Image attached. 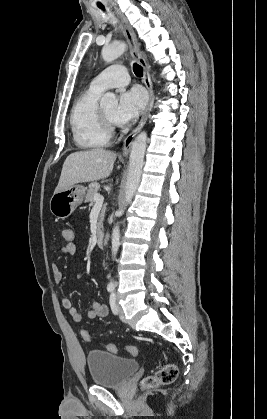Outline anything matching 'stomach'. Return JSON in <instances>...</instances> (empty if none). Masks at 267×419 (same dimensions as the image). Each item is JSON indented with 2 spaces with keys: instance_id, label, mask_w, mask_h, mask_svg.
Returning <instances> with one entry per match:
<instances>
[{
  "instance_id": "obj_1",
  "label": "stomach",
  "mask_w": 267,
  "mask_h": 419,
  "mask_svg": "<svg viewBox=\"0 0 267 419\" xmlns=\"http://www.w3.org/2000/svg\"><path fill=\"white\" fill-rule=\"evenodd\" d=\"M86 188L80 184H74L66 190L55 192L50 199V211L59 218L65 219L82 204L85 197Z\"/></svg>"
}]
</instances>
